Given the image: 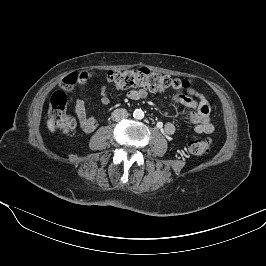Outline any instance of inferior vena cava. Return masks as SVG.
Listing matches in <instances>:
<instances>
[{"instance_id": "1", "label": "inferior vena cava", "mask_w": 266, "mask_h": 266, "mask_svg": "<svg viewBox=\"0 0 266 266\" xmlns=\"http://www.w3.org/2000/svg\"><path fill=\"white\" fill-rule=\"evenodd\" d=\"M128 117V112L126 109H123V108H118V109H115L112 114H111V118L113 121H121V120H124Z\"/></svg>"}]
</instances>
